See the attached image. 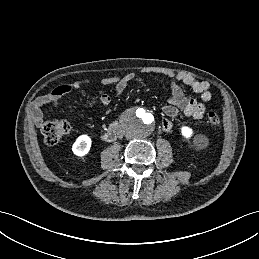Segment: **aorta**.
Instances as JSON below:
<instances>
[{
  "mask_svg": "<svg viewBox=\"0 0 259 259\" xmlns=\"http://www.w3.org/2000/svg\"><path fill=\"white\" fill-rule=\"evenodd\" d=\"M155 119L152 112L146 108H135L125 114L120 127L125 135L132 139L148 137L154 130Z\"/></svg>",
  "mask_w": 259,
  "mask_h": 259,
  "instance_id": "aorta-1",
  "label": "aorta"
}]
</instances>
